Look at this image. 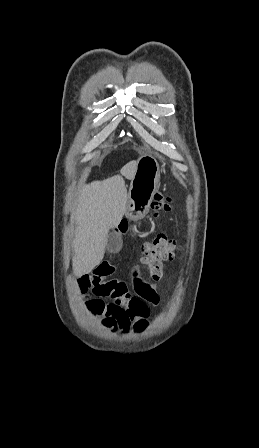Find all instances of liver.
I'll return each mask as SVG.
<instances>
[{
	"label": "liver",
	"instance_id": "liver-1",
	"mask_svg": "<svg viewBox=\"0 0 259 448\" xmlns=\"http://www.w3.org/2000/svg\"><path fill=\"white\" fill-rule=\"evenodd\" d=\"M137 164L130 162L121 170L128 180L134 178ZM127 190L122 176H113L103 182H92L79 192L71 222L77 224L73 242L72 260L75 276L90 274L102 262L108 232L119 226L126 214Z\"/></svg>",
	"mask_w": 259,
	"mask_h": 448
}]
</instances>
